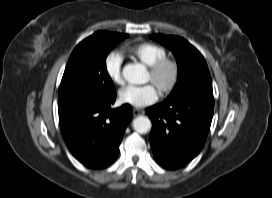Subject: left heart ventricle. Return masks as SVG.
I'll return each instance as SVG.
<instances>
[{
    "label": "left heart ventricle",
    "instance_id": "left-heart-ventricle-1",
    "mask_svg": "<svg viewBox=\"0 0 272 198\" xmlns=\"http://www.w3.org/2000/svg\"><path fill=\"white\" fill-rule=\"evenodd\" d=\"M147 80L149 81H151V77H150V74H148V78H147ZM167 80V76H164L160 81H158V82H155V83H153V85L155 86V88L157 89V90H159V86H160V84L161 83H163V82H165Z\"/></svg>",
    "mask_w": 272,
    "mask_h": 198
}]
</instances>
